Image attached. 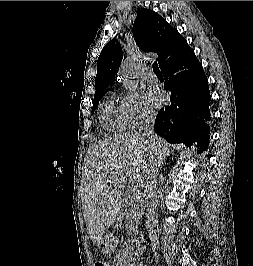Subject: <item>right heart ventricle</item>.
<instances>
[{
    "instance_id": "obj_1",
    "label": "right heart ventricle",
    "mask_w": 253,
    "mask_h": 266,
    "mask_svg": "<svg viewBox=\"0 0 253 266\" xmlns=\"http://www.w3.org/2000/svg\"><path fill=\"white\" fill-rule=\"evenodd\" d=\"M100 122L102 126L111 132H121L130 126L122 108L115 102L113 96H110L102 105L100 111Z\"/></svg>"
}]
</instances>
